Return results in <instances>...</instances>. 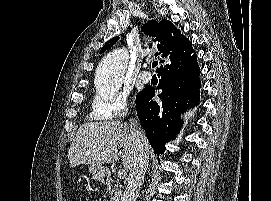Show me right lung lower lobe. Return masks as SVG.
Listing matches in <instances>:
<instances>
[{
  "label": "right lung lower lobe",
  "instance_id": "98d812e1",
  "mask_svg": "<svg viewBox=\"0 0 271 201\" xmlns=\"http://www.w3.org/2000/svg\"><path fill=\"white\" fill-rule=\"evenodd\" d=\"M183 51L181 56L157 70L161 77L158 86L162 89L159 94L161 101L152 100L155 89L150 86L145 87L136 98L138 118L157 154H163L165 144L177 135L182 125L180 115L187 109L185 102L199 103L200 68L197 56L191 55L193 49L188 39Z\"/></svg>",
  "mask_w": 271,
  "mask_h": 201
}]
</instances>
